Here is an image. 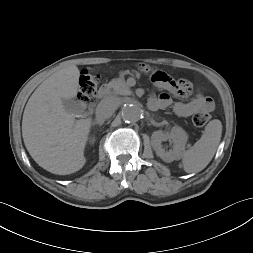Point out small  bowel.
I'll use <instances>...</instances> for the list:
<instances>
[{"mask_svg": "<svg viewBox=\"0 0 253 253\" xmlns=\"http://www.w3.org/2000/svg\"><path fill=\"white\" fill-rule=\"evenodd\" d=\"M153 82L157 90L164 92L150 97L148 107L152 110L171 107L176 115L180 117H189L198 112H210L214 108L213 100L200 91H197L194 97L188 102L174 101L171 98L168 93L180 97H187L191 94L193 87L187 80H174L166 73L162 72L161 77L153 79Z\"/></svg>", "mask_w": 253, "mask_h": 253, "instance_id": "1", "label": "small bowel"}]
</instances>
